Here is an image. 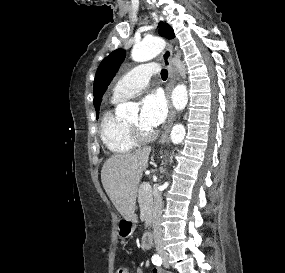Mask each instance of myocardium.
<instances>
[{
	"label": "myocardium",
	"instance_id": "obj_1",
	"mask_svg": "<svg viewBox=\"0 0 285 273\" xmlns=\"http://www.w3.org/2000/svg\"><path fill=\"white\" fill-rule=\"evenodd\" d=\"M127 131L129 132L130 136L132 137L133 140H135L138 143H146L152 141L156 133L151 131L149 133L144 132L137 126H131L128 123H124Z\"/></svg>",
	"mask_w": 285,
	"mask_h": 273
}]
</instances>
